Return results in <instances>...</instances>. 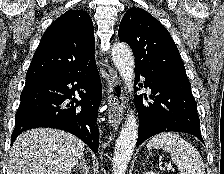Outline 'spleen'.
I'll list each match as a JSON object with an SVG mask.
<instances>
[{
	"instance_id": "3e777b00",
	"label": "spleen",
	"mask_w": 224,
	"mask_h": 174,
	"mask_svg": "<svg viewBox=\"0 0 224 174\" xmlns=\"http://www.w3.org/2000/svg\"><path fill=\"white\" fill-rule=\"evenodd\" d=\"M147 148L169 152L180 174H206L197 149L175 133L164 132L154 136L148 142Z\"/></svg>"
}]
</instances>
